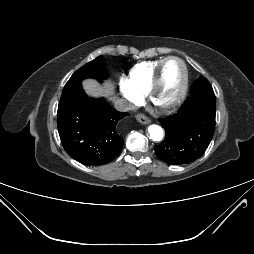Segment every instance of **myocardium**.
Returning a JSON list of instances; mask_svg holds the SVG:
<instances>
[{
  "instance_id": "f54148a6",
  "label": "myocardium",
  "mask_w": 254,
  "mask_h": 254,
  "mask_svg": "<svg viewBox=\"0 0 254 254\" xmlns=\"http://www.w3.org/2000/svg\"><path fill=\"white\" fill-rule=\"evenodd\" d=\"M171 60H175L179 62L182 66L183 75H182L181 87L177 96L171 102L167 104H159L157 103L156 95L161 86L162 72H163L164 66ZM188 82H189V73H188V68L185 61L178 56H168L160 62V64L155 70L151 85L147 92L148 99L150 103L153 105V107L156 108L158 111L163 113L173 112L174 110L179 108L181 104L183 103L188 91Z\"/></svg>"
}]
</instances>
